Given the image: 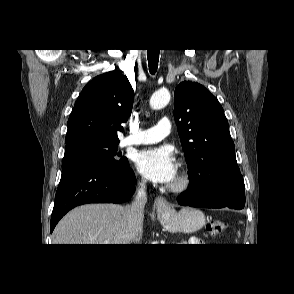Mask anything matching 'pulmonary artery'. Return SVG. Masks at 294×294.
Returning a JSON list of instances; mask_svg holds the SVG:
<instances>
[{"instance_id": "obj_1", "label": "pulmonary artery", "mask_w": 294, "mask_h": 294, "mask_svg": "<svg viewBox=\"0 0 294 294\" xmlns=\"http://www.w3.org/2000/svg\"><path fill=\"white\" fill-rule=\"evenodd\" d=\"M171 132L168 118H162L154 127L141 130L123 140L124 145L156 143L164 139Z\"/></svg>"}]
</instances>
